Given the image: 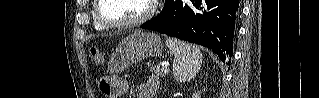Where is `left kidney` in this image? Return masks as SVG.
<instances>
[{"mask_svg":"<svg viewBox=\"0 0 319 98\" xmlns=\"http://www.w3.org/2000/svg\"><path fill=\"white\" fill-rule=\"evenodd\" d=\"M192 98H201V92H195L192 94Z\"/></svg>","mask_w":319,"mask_h":98,"instance_id":"obj_1","label":"left kidney"}]
</instances>
